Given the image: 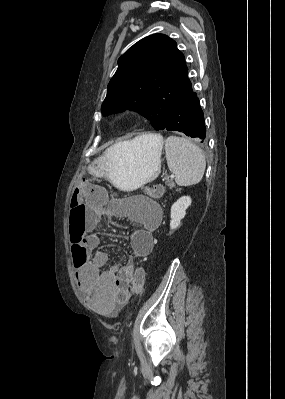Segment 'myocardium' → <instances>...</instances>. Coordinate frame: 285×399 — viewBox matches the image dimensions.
<instances>
[{
	"instance_id": "obj_1",
	"label": "myocardium",
	"mask_w": 285,
	"mask_h": 399,
	"mask_svg": "<svg viewBox=\"0 0 285 399\" xmlns=\"http://www.w3.org/2000/svg\"><path fill=\"white\" fill-rule=\"evenodd\" d=\"M122 119L125 123H131L135 120V115L133 113L129 112V113L124 114Z\"/></svg>"
}]
</instances>
